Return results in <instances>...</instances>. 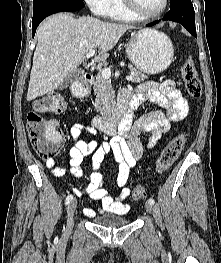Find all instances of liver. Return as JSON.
<instances>
[{
  "label": "liver",
  "mask_w": 221,
  "mask_h": 263,
  "mask_svg": "<svg viewBox=\"0 0 221 263\" xmlns=\"http://www.w3.org/2000/svg\"><path fill=\"white\" fill-rule=\"evenodd\" d=\"M134 26L105 22L90 16L74 18L67 13L49 17L37 29L27 100L57 89L84 61L86 54L99 48L96 62L105 61L120 37Z\"/></svg>",
  "instance_id": "obj_1"
}]
</instances>
